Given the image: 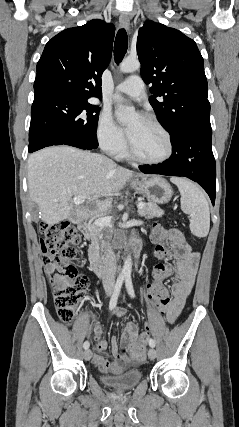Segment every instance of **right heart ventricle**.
<instances>
[{
    "label": "right heart ventricle",
    "instance_id": "e07e8e85",
    "mask_svg": "<svg viewBox=\"0 0 239 427\" xmlns=\"http://www.w3.org/2000/svg\"><path fill=\"white\" fill-rule=\"evenodd\" d=\"M125 156V152L123 151L120 155H119V157H124Z\"/></svg>",
    "mask_w": 239,
    "mask_h": 427
}]
</instances>
